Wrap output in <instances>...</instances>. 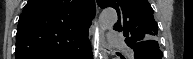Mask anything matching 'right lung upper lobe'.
<instances>
[{
  "label": "right lung upper lobe",
  "mask_w": 193,
  "mask_h": 59,
  "mask_svg": "<svg viewBox=\"0 0 193 59\" xmlns=\"http://www.w3.org/2000/svg\"><path fill=\"white\" fill-rule=\"evenodd\" d=\"M94 0H30L19 18L15 59H61L88 39Z\"/></svg>",
  "instance_id": "1"
}]
</instances>
